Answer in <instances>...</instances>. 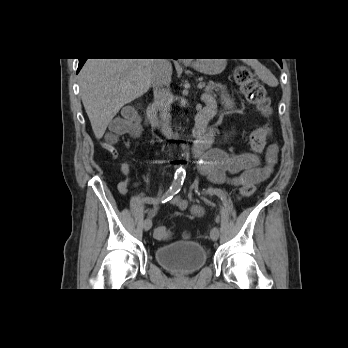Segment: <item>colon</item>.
<instances>
[{"instance_id": "5ec220e1", "label": "colon", "mask_w": 348, "mask_h": 348, "mask_svg": "<svg viewBox=\"0 0 348 348\" xmlns=\"http://www.w3.org/2000/svg\"><path fill=\"white\" fill-rule=\"evenodd\" d=\"M234 77L247 102L256 106L263 115H268L270 113V99L267 90L253 75L251 70L245 66L238 67L235 71ZM138 130L139 114L137 110L133 107L126 108L123 111L122 117L113 122L111 134L107 138L106 148L113 156H115L116 150L113 145L116 142L117 137L126 133L135 134ZM270 136L271 127L269 125H262L256 128L249 137L252 150L256 154L262 153L266 141ZM254 190V185H243L239 189V197L247 198L253 194ZM170 237L171 233L167 227L159 225L154 229V238L156 240L167 241Z\"/></svg>"}]
</instances>
